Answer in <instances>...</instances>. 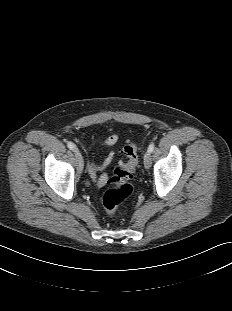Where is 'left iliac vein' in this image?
<instances>
[{"mask_svg":"<svg viewBox=\"0 0 232 311\" xmlns=\"http://www.w3.org/2000/svg\"><path fill=\"white\" fill-rule=\"evenodd\" d=\"M144 166H145V168L146 169H149L150 167H151V154H150V152H146L145 154H144Z\"/></svg>","mask_w":232,"mask_h":311,"instance_id":"obj_1","label":"left iliac vein"}]
</instances>
